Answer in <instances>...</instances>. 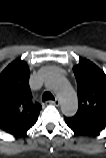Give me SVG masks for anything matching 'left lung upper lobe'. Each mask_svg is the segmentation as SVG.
Masks as SVG:
<instances>
[{"instance_id": "1", "label": "left lung upper lobe", "mask_w": 106, "mask_h": 158, "mask_svg": "<svg viewBox=\"0 0 106 158\" xmlns=\"http://www.w3.org/2000/svg\"><path fill=\"white\" fill-rule=\"evenodd\" d=\"M78 85V111L65 117L67 125L81 135H93L106 127V75L94 63L81 60L73 67Z\"/></svg>"}]
</instances>
